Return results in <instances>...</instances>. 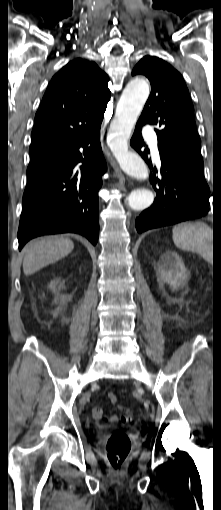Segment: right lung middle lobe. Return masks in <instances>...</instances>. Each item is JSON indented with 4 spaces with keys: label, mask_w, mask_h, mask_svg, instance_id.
<instances>
[{
    "label": "right lung middle lobe",
    "mask_w": 221,
    "mask_h": 510,
    "mask_svg": "<svg viewBox=\"0 0 221 510\" xmlns=\"http://www.w3.org/2000/svg\"><path fill=\"white\" fill-rule=\"evenodd\" d=\"M45 152H47V151L34 152V153H30V155H31V158H34V157L40 156L41 154H43Z\"/></svg>",
    "instance_id": "dd1d6c3e"
}]
</instances>
